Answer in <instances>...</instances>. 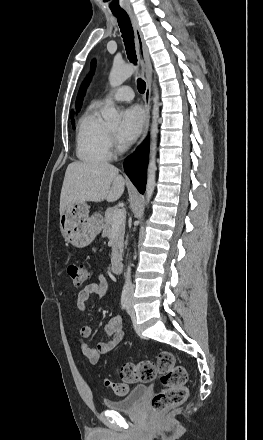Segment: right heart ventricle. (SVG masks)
Returning <instances> with one entry per match:
<instances>
[{
	"label": "right heart ventricle",
	"instance_id": "right-heart-ventricle-1",
	"mask_svg": "<svg viewBox=\"0 0 263 440\" xmlns=\"http://www.w3.org/2000/svg\"><path fill=\"white\" fill-rule=\"evenodd\" d=\"M76 154L84 162H105L112 158L108 127L99 115L98 105H91L81 116L76 133Z\"/></svg>",
	"mask_w": 263,
	"mask_h": 440
}]
</instances>
